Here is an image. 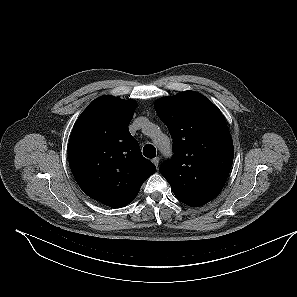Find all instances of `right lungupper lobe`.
Segmentation results:
<instances>
[{
  "label": "right lung upper lobe",
  "instance_id": "right-lung-upper-lobe-1",
  "mask_svg": "<svg viewBox=\"0 0 297 297\" xmlns=\"http://www.w3.org/2000/svg\"><path fill=\"white\" fill-rule=\"evenodd\" d=\"M136 104L113 96L93 100L74 124L69 164L80 188L113 208L128 205L143 182L155 173L128 125Z\"/></svg>",
  "mask_w": 297,
  "mask_h": 297
}]
</instances>
